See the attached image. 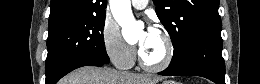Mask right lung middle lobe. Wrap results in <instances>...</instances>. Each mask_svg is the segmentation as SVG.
I'll use <instances>...</instances> for the list:
<instances>
[{
  "label": "right lung middle lobe",
  "mask_w": 260,
  "mask_h": 84,
  "mask_svg": "<svg viewBox=\"0 0 260 84\" xmlns=\"http://www.w3.org/2000/svg\"><path fill=\"white\" fill-rule=\"evenodd\" d=\"M105 13L49 28L46 82L51 83L69 65L95 60L107 64L103 29Z\"/></svg>",
  "instance_id": "dd1d6c3e"
}]
</instances>
